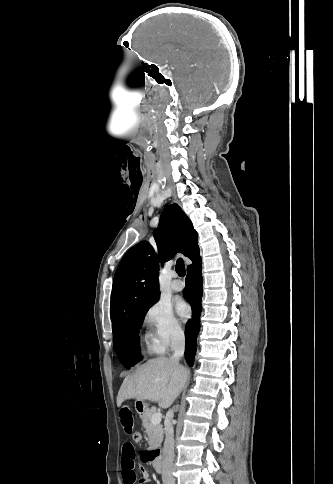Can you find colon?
Returning <instances> with one entry per match:
<instances>
[{"instance_id": "obj_1", "label": "colon", "mask_w": 333, "mask_h": 484, "mask_svg": "<svg viewBox=\"0 0 333 484\" xmlns=\"http://www.w3.org/2000/svg\"><path fill=\"white\" fill-rule=\"evenodd\" d=\"M132 438H133V441H134L135 443H139V442H141V440H142V435H141V433H140V432L135 431V432L132 434Z\"/></svg>"}]
</instances>
